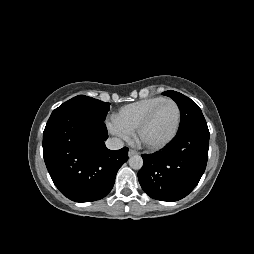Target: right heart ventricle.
Instances as JSON below:
<instances>
[{
  "instance_id": "e07e8e85",
  "label": "right heart ventricle",
  "mask_w": 254,
  "mask_h": 254,
  "mask_svg": "<svg viewBox=\"0 0 254 254\" xmlns=\"http://www.w3.org/2000/svg\"><path fill=\"white\" fill-rule=\"evenodd\" d=\"M164 99V97L160 96L150 97L127 104L118 110L114 118L125 128L133 132L149 111Z\"/></svg>"
}]
</instances>
